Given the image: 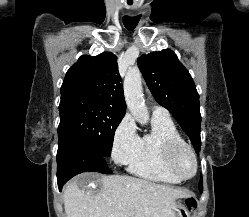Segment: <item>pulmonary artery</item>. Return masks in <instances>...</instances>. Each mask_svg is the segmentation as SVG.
Returning <instances> with one entry per match:
<instances>
[{"label":"pulmonary artery","mask_w":249,"mask_h":217,"mask_svg":"<svg viewBox=\"0 0 249 217\" xmlns=\"http://www.w3.org/2000/svg\"><path fill=\"white\" fill-rule=\"evenodd\" d=\"M152 115L155 116V117H163V118H168L169 117L168 111L165 108L161 107V106H155L153 108Z\"/></svg>","instance_id":"e3ab8cb5"}]
</instances>
